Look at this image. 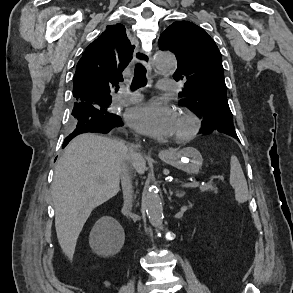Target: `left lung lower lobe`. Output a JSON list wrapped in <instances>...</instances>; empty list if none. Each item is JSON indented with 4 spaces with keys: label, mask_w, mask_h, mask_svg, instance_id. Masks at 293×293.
<instances>
[{
    "label": "left lung lower lobe",
    "mask_w": 293,
    "mask_h": 293,
    "mask_svg": "<svg viewBox=\"0 0 293 293\" xmlns=\"http://www.w3.org/2000/svg\"><path fill=\"white\" fill-rule=\"evenodd\" d=\"M202 132H203V133H207V131H206L205 129H203ZM223 133H226V134H228V135H230V136L236 138V139L239 141V138H238V136H237V134H236V131H233V130H226V131L223 132Z\"/></svg>",
    "instance_id": "0a47b994"
}]
</instances>
